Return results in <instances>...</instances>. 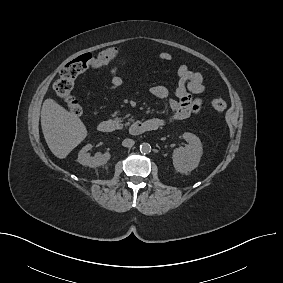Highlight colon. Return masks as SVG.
I'll return each instance as SVG.
<instances>
[{"label":"colon","mask_w":283,"mask_h":283,"mask_svg":"<svg viewBox=\"0 0 283 283\" xmlns=\"http://www.w3.org/2000/svg\"><path fill=\"white\" fill-rule=\"evenodd\" d=\"M118 58L119 51L110 48L96 56L89 53L83 54L68 62L61 69L59 78L54 83V91L64 101L69 112L74 115H79L82 112L79 101L72 94L75 79L87 69L105 66ZM210 105L218 112H224L227 107L225 101L220 98L213 99Z\"/></svg>","instance_id":"5ec220e1"}]
</instances>
